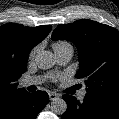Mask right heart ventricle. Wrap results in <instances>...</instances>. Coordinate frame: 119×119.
<instances>
[{
    "instance_id": "obj_1",
    "label": "right heart ventricle",
    "mask_w": 119,
    "mask_h": 119,
    "mask_svg": "<svg viewBox=\"0 0 119 119\" xmlns=\"http://www.w3.org/2000/svg\"><path fill=\"white\" fill-rule=\"evenodd\" d=\"M52 46L55 52L63 48L71 47V45L65 41H56L52 44Z\"/></svg>"
}]
</instances>
